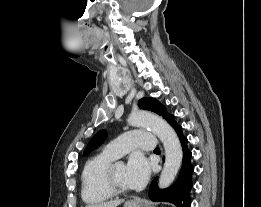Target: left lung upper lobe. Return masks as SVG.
<instances>
[{
    "label": "left lung upper lobe",
    "mask_w": 261,
    "mask_h": 207,
    "mask_svg": "<svg viewBox=\"0 0 261 207\" xmlns=\"http://www.w3.org/2000/svg\"><path fill=\"white\" fill-rule=\"evenodd\" d=\"M138 105L142 109L161 115L171 126L176 123L174 116L169 114L165 107L154 98H142L139 100ZM106 136L107 133L104 130L99 131L96 135H94L88 143L83 156L88 155L91 151L98 147L105 140Z\"/></svg>",
    "instance_id": "5c2ea615"
}]
</instances>
